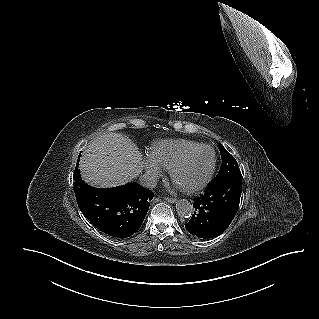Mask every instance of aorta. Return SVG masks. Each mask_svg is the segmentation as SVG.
<instances>
[{
    "label": "aorta",
    "instance_id": "obj_1",
    "mask_svg": "<svg viewBox=\"0 0 319 319\" xmlns=\"http://www.w3.org/2000/svg\"><path fill=\"white\" fill-rule=\"evenodd\" d=\"M176 210L180 217L188 218L193 212V206L188 200L181 199L176 204Z\"/></svg>",
    "mask_w": 319,
    "mask_h": 319
}]
</instances>
